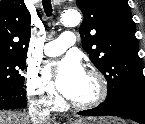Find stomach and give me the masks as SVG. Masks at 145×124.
<instances>
[{
    "label": "stomach",
    "mask_w": 145,
    "mask_h": 124,
    "mask_svg": "<svg viewBox=\"0 0 145 124\" xmlns=\"http://www.w3.org/2000/svg\"><path fill=\"white\" fill-rule=\"evenodd\" d=\"M72 124H120L117 119L103 117L99 119H78Z\"/></svg>",
    "instance_id": "0dacf381"
}]
</instances>
